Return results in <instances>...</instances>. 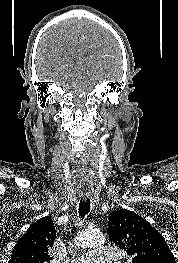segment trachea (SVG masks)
I'll return each mask as SVG.
<instances>
[{"label": "trachea", "mask_w": 178, "mask_h": 263, "mask_svg": "<svg viewBox=\"0 0 178 263\" xmlns=\"http://www.w3.org/2000/svg\"><path fill=\"white\" fill-rule=\"evenodd\" d=\"M90 211V200H80L79 203V215L83 218Z\"/></svg>", "instance_id": "obj_1"}]
</instances>
